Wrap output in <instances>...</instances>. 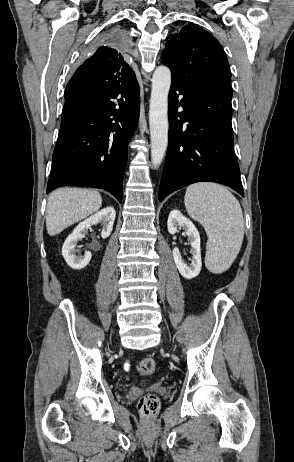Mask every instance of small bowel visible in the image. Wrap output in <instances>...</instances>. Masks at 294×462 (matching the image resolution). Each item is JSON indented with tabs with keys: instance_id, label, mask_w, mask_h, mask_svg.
Here are the masks:
<instances>
[{
	"instance_id": "c3829d8e",
	"label": "small bowel",
	"mask_w": 294,
	"mask_h": 462,
	"mask_svg": "<svg viewBox=\"0 0 294 462\" xmlns=\"http://www.w3.org/2000/svg\"><path fill=\"white\" fill-rule=\"evenodd\" d=\"M125 367L128 369V368H129V365H128V364H126V365H125Z\"/></svg>"
}]
</instances>
